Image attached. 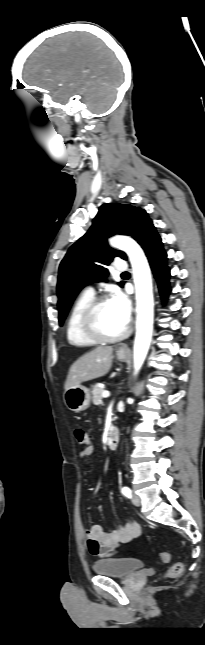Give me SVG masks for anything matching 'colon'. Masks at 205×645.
<instances>
[{"mask_svg":"<svg viewBox=\"0 0 205 645\" xmlns=\"http://www.w3.org/2000/svg\"><path fill=\"white\" fill-rule=\"evenodd\" d=\"M75 438L77 440V443L82 446V447H88L90 444V435L89 433L82 428H77L74 431ZM160 559L162 562H168L169 561V554L166 552L160 553ZM183 571V564L180 562H177L173 564L169 570L167 571V576L170 578H176L180 576V574Z\"/></svg>","mask_w":205,"mask_h":645,"instance_id":"1","label":"colon"}]
</instances>
